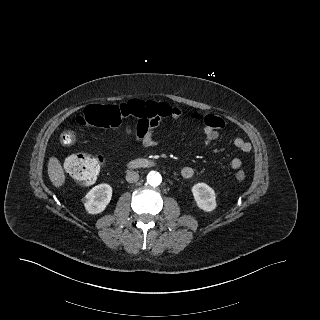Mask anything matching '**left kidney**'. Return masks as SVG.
Instances as JSON below:
<instances>
[{
	"label": "left kidney",
	"mask_w": 320,
	"mask_h": 320,
	"mask_svg": "<svg viewBox=\"0 0 320 320\" xmlns=\"http://www.w3.org/2000/svg\"><path fill=\"white\" fill-rule=\"evenodd\" d=\"M197 206L206 212H211L216 208L215 192L205 183H197L192 187Z\"/></svg>",
	"instance_id": "5707ae66"
}]
</instances>
